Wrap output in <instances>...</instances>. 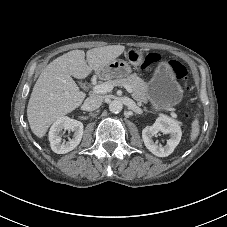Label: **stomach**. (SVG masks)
I'll return each mask as SVG.
<instances>
[{
	"label": "stomach",
	"mask_w": 227,
	"mask_h": 227,
	"mask_svg": "<svg viewBox=\"0 0 227 227\" xmlns=\"http://www.w3.org/2000/svg\"><path fill=\"white\" fill-rule=\"evenodd\" d=\"M127 60L115 59L99 71L104 79L122 78L131 73L130 65L137 66L142 62L143 54L137 49L126 53ZM183 90L172 73V65L165 62L148 83L146 98L155 110H161L180 103Z\"/></svg>",
	"instance_id": "obj_1"
}]
</instances>
